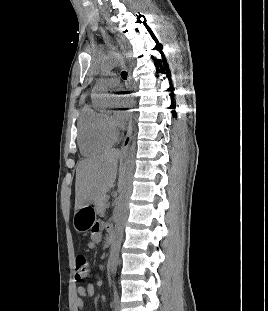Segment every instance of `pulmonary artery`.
<instances>
[{"label": "pulmonary artery", "instance_id": "pulmonary-artery-1", "mask_svg": "<svg viewBox=\"0 0 268 311\" xmlns=\"http://www.w3.org/2000/svg\"><path fill=\"white\" fill-rule=\"evenodd\" d=\"M100 85H103L105 87H116L119 84V79L115 77L114 74H109L107 78L101 79L99 81Z\"/></svg>", "mask_w": 268, "mask_h": 311}]
</instances>
